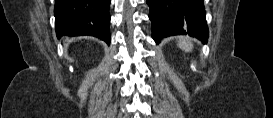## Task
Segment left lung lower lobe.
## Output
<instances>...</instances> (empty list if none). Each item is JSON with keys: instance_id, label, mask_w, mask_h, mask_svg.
Wrapping results in <instances>:
<instances>
[{"instance_id": "obj_1", "label": "left lung lower lobe", "mask_w": 273, "mask_h": 118, "mask_svg": "<svg viewBox=\"0 0 273 118\" xmlns=\"http://www.w3.org/2000/svg\"><path fill=\"white\" fill-rule=\"evenodd\" d=\"M156 43L172 35L196 37L206 43L209 32L203 0H146Z\"/></svg>"}]
</instances>
